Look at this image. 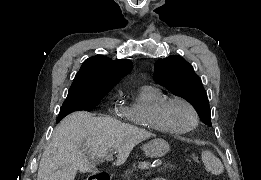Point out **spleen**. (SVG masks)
<instances>
[{"label":"spleen","instance_id":"3e777b00","mask_svg":"<svg viewBox=\"0 0 261 180\" xmlns=\"http://www.w3.org/2000/svg\"><path fill=\"white\" fill-rule=\"evenodd\" d=\"M201 156L208 172L215 174V176L222 174L224 170L223 164L218 160V158H216V156H213L211 152H202Z\"/></svg>","mask_w":261,"mask_h":180}]
</instances>
